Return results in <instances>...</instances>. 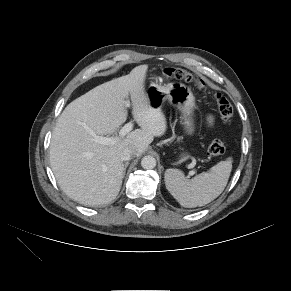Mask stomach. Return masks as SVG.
<instances>
[{
	"label": "stomach",
	"instance_id": "obj_1",
	"mask_svg": "<svg viewBox=\"0 0 291 291\" xmlns=\"http://www.w3.org/2000/svg\"><path fill=\"white\" fill-rule=\"evenodd\" d=\"M146 96L150 106L154 109L161 110L165 101H168L181 112L186 132L188 134L194 132L192 113L195 107V97L188 86L179 82L168 83L165 86L152 83L146 91ZM187 156L182 154L183 158Z\"/></svg>",
	"mask_w": 291,
	"mask_h": 291
}]
</instances>
